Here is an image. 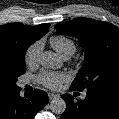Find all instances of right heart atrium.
Returning <instances> with one entry per match:
<instances>
[{"label": "right heart atrium", "mask_w": 119, "mask_h": 119, "mask_svg": "<svg viewBox=\"0 0 119 119\" xmlns=\"http://www.w3.org/2000/svg\"><path fill=\"white\" fill-rule=\"evenodd\" d=\"M42 50L41 42L37 41L31 44L24 54L25 63L28 66H34L37 64L40 53Z\"/></svg>", "instance_id": "1"}]
</instances>
